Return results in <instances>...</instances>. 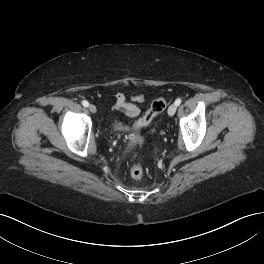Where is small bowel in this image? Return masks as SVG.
Here are the masks:
<instances>
[{"instance_id": "small-bowel-1", "label": "small bowel", "mask_w": 264, "mask_h": 264, "mask_svg": "<svg viewBox=\"0 0 264 264\" xmlns=\"http://www.w3.org/2000/svg\"><path fill=\"white\" fill-rule=\"evenodd\" d=\"M133 103L128 102L125 94H116V103L114 109L124 113L129 117H136L140 114V109L135 103H142L145 100V96L141 93L132 94L130 96Z\"/></svg>"}]
</instances>
